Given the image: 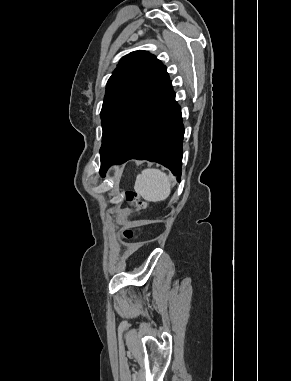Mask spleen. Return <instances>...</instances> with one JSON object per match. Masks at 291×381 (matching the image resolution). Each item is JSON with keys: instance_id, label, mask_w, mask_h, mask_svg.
Listing matches in <instances>:
<instances>
[{"instance_id": "3e777b00", "label": "spleen", "mask_w": 291, "mask_h": 381, "mask_svg": "<svg viewBox=\"0 0 291 381\" xmlns=\"http://www.w3.org/2000/svg\"><path fill=\"white\" fill-rule=\"evenodd\" d=\"M134 189L145 200L160 202L170 195L171 182L169 176L159 169H144L137 175Z\"/></svg>"}]
</instances>
